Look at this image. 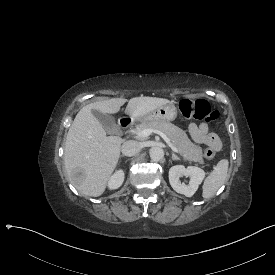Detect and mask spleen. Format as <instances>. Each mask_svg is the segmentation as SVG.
Returning a JSON list of instances; mask_svg holds the SVG:
<instances>
[{
	"label": "spleen",
	"instance_id": "3e777b00",
	"mask_svg": "<svg viewBox=\"0 0 275 275\" xmlns=\"http://www.w3.org/2000/svg\"><path fill=\"white\" fill-rule=\"evenodd\" d=\"M229 162L227 159L220 160L214 170L205 179L203 184V198H211L226 180Z\"/></svg>",
	"mask_w": 275,
	"mask_h": 275
}]
</instances>
